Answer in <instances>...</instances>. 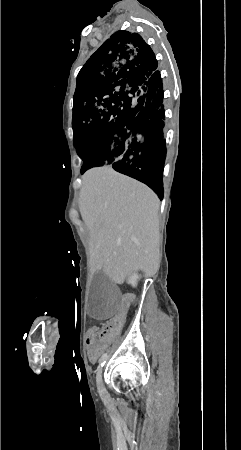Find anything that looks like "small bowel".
I'll return each mask as SVG.
<instances>
[{
  "instance_id": "small-bowel-1",
  "label": "small bowel",
  "mask_w": 241,
  "mask_h": 450,
  "mask_svg": "<svg viewBox=\"0 0 241 450\" xmlns=\"http://www.w3.org/2000/svg\"><path fill=\"white\" fill-rule=\"evenodd\" d=\"M121 305H122L123 308L126 309V308L129 307L130 304H129L128 301L125 300V301L122 302ZM115 315L119 319H124L127 314H126V312L124 310H119V311L116 312ZM113 327L115 329H120L122 327V322L120 320H115L113 322ZM114 328H110V327L101 328L99 330L100 334L98 335V338L100 340H103L105 338V336L114 335L116 333V330ZM89 332L92 334L94 331L91 329ZM91 340H92V337H90L89 342H88L89 343V351H88V353H89V356H90L91 360L96 361L98 359V357L101 355V353L103 351V348H102V346L100 344H97V345L90 344Z\"/></svg>"
}]
</instances>
